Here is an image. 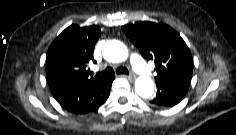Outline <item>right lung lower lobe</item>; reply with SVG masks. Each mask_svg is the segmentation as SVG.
<instances>
[{"instance_id":"98d812e1","label":"right lung lower lobe","mask_w":236,"mask_h":135,"mask_svg":"<svg viewBox=\"0 0 236 135\" xmlns=\"http://www.w3.org/2000/svg\"><path fill=\"white\" fill-rule=\"evenodd\" d=\"M114 77L84 85H60L51 88L58 103L73 114L97 110L109 97Z\"/></svg>"}]
</instances>
